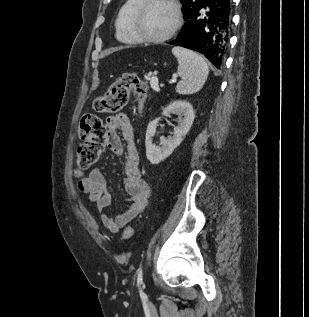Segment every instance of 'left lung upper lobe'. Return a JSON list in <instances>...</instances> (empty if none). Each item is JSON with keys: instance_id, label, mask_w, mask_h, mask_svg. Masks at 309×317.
<instances>
[{"instance_id": "obj_1", "label": "left lung upper lobe", "mask_w": 309, "mask_h": 317, "mask_svg": "<svg viewBox=\"0 0 309 317\" xmlns=\"http://www.w3.org/2000/svg\"><path fill=\"white\" fill-rule=\"evenodd\" d=\"M203 0H181L183 4V14H187L190 12L193 8L199 6L202 3Z\"/></svg>"}]
</instances>
